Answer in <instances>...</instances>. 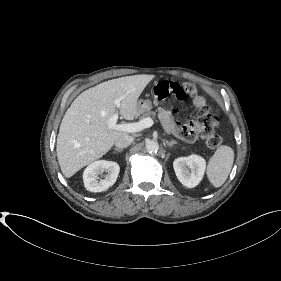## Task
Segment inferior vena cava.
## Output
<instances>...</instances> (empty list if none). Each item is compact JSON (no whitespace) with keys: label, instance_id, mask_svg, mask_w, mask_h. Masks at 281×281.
I'll return each mask as SVG.
<instances>
[{"label":"inferior vena cava","instance_id":"inferior-vena-cava-1","mask_svg":"<svg viewBox=\"0 0 281 281\" xmlns=\"http://www.w3.org/2000/svg\"><path fill=\"white\" fill-rule=\"evenodd\" d=\"M133 137L129 135H124L115 140V146L117 148H126L133 142Z\"/></svg>","mask_w":281,"mask_h":281}]
</instances>
